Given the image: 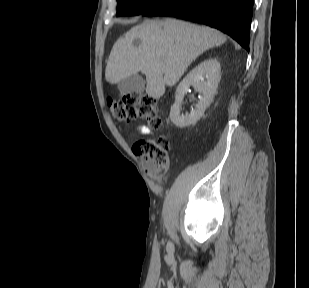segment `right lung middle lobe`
Wrapping results in <instances>:
<instances>
[{
  "mask_svg": "<svg viewBox=\"0 0 309 288\" xmlns=\"http://www.w3.org/2000/svg\"><path fill=\"white\" fill-rule=\"evenodd\" d=\"M162 0H117V16L139 15Z\"/></svg>",
  "mask_w": 309,
  "mask_h": 288,
  "instance_id": "right-lung-middle-lobe-1",
  "label": "right lung middle lobe"
}]
</instances>
